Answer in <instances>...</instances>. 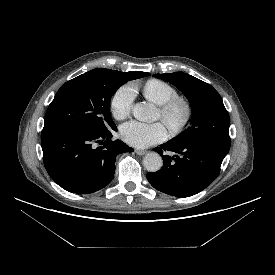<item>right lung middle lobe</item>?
<instances>
[{
    "label": "right lung middle lobe",
    "instance_id": "right-lung-middle-lobe-1",
    "mask_svg": "<svg viewBox=\"0 0 275 275\" xmlns=\"http://www.w3.org/2000/svg\"><path fill=\"white\" fill-rule=\"evenodd\" d=\"M128 80L119 71L101 68L66 82L49 105L44 126L71 125L92 132L115 128L110 100Z\"/></svg>",
    "mask_w": 275,
    "mask_h": 275
}]
</instances>
